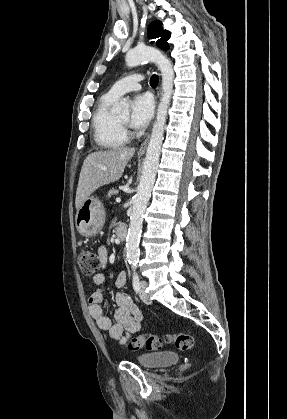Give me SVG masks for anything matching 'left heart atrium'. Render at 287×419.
I'll return each mask as SVG.
<instances>
[{"label": "left heart atrium", "instance_id": "left-heart-atrium-1", "mask_svg": "<svg viewBox=\"0 0 287 419\" xmlns=\"http://www.w3.org/2000/svg\"><path fill=\"white\" fill-rule=\"evenodd\" d=\"M154 100L150 94H138L131 105L130 125L135 129L144 128L153 116Z\"/></svg>", "mask_w": 287, "mask_h": 419}]
</instances>
